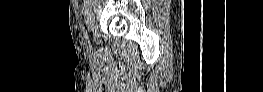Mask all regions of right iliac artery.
<instances>
[{"mask_svg":"<svg viewBox=\"0 0 263 92\" xmlns=\"http://www.w3.org/2000/svg\"><path fill=\"white\" fill-rule=\"evenodd\" d=\"M85 45H86V48H87V49L91 48V45H90L89 39H88V37H87L86 34H85Z\"/></svg>","mask_w":263,"mask_h":92,"instance_id":"obj_1","label":"right iliac artery"}]
</instances>
